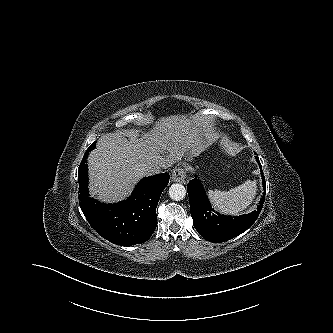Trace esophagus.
Masks as SVG:
<instances>
[{"instance_id": "obj_1", "label": "esophagus", "mask_w": 333, "mask_h": 333, "mask_svg": "<svg viewBox=\"0 0 333 333\" xmlns=\"http://www.w3.org/2000/svg\"><path fill=\"white\" fill-rule=\"evenodd\" d=\"M186 178V172L183 168L177 167L173 169L172 175H171V180L172 182H184Z\"/></svg>"}]
</instances>
